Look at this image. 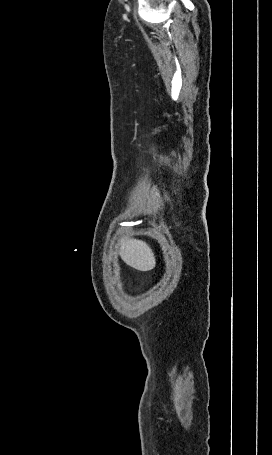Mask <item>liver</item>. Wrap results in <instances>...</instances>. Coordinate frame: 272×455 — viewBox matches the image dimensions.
I'll use <instances>...</instances> for the list:
<instances>
[{"label": "liver", "mask_w": 272, "mask_h": 455, "mask_svg": "<svg viewBox=\"0 0 272 455\" xmlns=\"http://www.w3.org/2000/svg\"><path fill=\"white\" fill-rule=\"evenodd\" d=\"M119 244V254L129 266L143 272L150 271L155 267L154 253L146 242L136 239H122Z\"/></svg>", "instance_id": "1"}]
</instances>
